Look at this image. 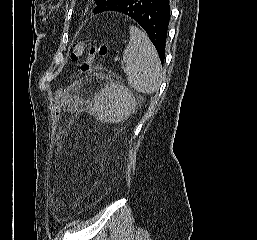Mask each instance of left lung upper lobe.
<instances>
[{"mask_svg": "<svg viewBox=\"0 0 257 240\" xmlns=\"http://www.w3.org/2000/svg\"><path fill=\"white\" fill-rule=\"evenodd\" d=\"M96 2V8L93 13L98 14L110 10L117 6L122 0H94Z\"/></svg>", "mask_w": 257, "mask_h": 240, "instance_id": "obj_1", "label": "left lung upper lobe"}]
</instances>
